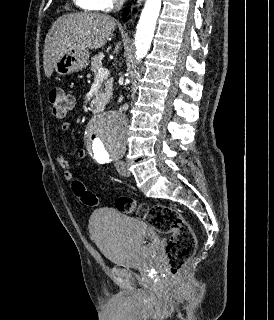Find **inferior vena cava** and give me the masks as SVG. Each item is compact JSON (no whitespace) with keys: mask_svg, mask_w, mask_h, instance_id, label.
Here are the masks:
<instances>
[{"mask_svg":"<svg viewBox=\"0 0 274 320\" xmlns=\"http://www.w3.org/2000/svg\"><path fill=\"white\" fill-rule=\"evenodd\" d=\"M124 2H126V0H114L116 12H119V10H121Z\"/></svg>","mask_w":274,"mask_h":320,"instance_id":"inferior-vena-cava-1","label":"inferior vena cava"}]
</instances>
